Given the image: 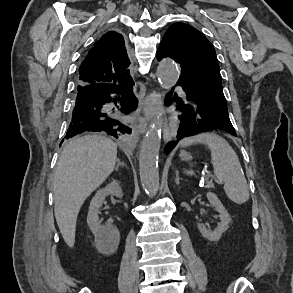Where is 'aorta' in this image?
<instances>
[{
    "instance_id": "obj_1",
    "label": "aorta",
    "mask_w": 293,
    "mask_h": 293,
    "mask_svg": "<svg viewBox=\"0 0 293 293\" xmlns=\"http://www.w3.org/2000/svg\"><path fill=\"white\" fill-rule=\"evenodd\" d=\"M161 87L170 90L178 81L179 71L175 62L163 59L157 69ZM162 121L154 120L142 141L139 155V172L143 190L147 195H156L159 189L158 156L161 144Z\"/></svg>"
}]
</instances>
